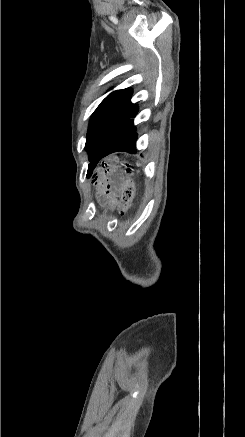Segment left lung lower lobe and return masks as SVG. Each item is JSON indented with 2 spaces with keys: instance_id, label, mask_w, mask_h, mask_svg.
<instances>
[{
  "instance_id": "left-lung-lower-lobe-1",
  "label": "left lung lower lobe",
  "mask_w": 245,
  "mask_h": 437,
  "mask_svg": "<svg viewBox=\"0 0 245 437\" xmlns=\"http://www.w3.org/2000/svg\"><path fill=\"white\" fill-rule=\"evenodd\" d=\"M137 112V105L132 104L127 113L112 129L91 168H94L101 158L113 152L134 153L136 151L137 133L132 118L136 116Z\"/></svg>"
}]
</instances>
